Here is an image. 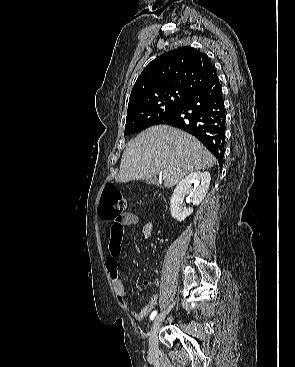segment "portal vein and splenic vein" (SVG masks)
I'll return each mask as SVG.
<instances>
[{
    "instance_id": "obj_1",
    "label": "portal vein and splenic vein",
    "mask_w": 295,
    "mask_h": 367,
    "mask_svg": "<svg viewBox=\"0 0 295 367\" xmlns=\"http://www.w3.org/2000/svg\"><path fill=\"white\" fill-rule=\"evenodd\" d=\"M166 173H168V170L161 172V174H166Z\"/></svg>"
}]
</instances>
